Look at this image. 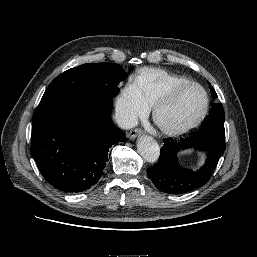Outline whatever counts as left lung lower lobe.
<instances>
[{"instance_id":"left-lung-lower-lobe-1","label":"left lung lower lobe","mask_w":257,"mask_h":257,"mask_svg":"<svg viewBox=\"0 0 257 257\" xmlns=\"http://www.w3.org/2000/svg\"><path fill=\"white\" fill-rule=\"evenodd\" d=\"M188 148L207 153L200 169H186L179 164L178 152ZM224 151L225 135L211 132H196L180 141L164 139L159 160L147 169V174L154 185L165 193H187L208 182Z\"/></svg>"}]
</instances>
